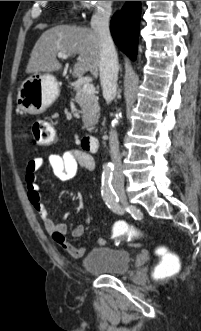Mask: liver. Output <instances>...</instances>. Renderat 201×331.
I'll list each match as a JSON object with an SVG mask.
<instances>
[{
  "instance_id": "liver-1",
  "label": "liver",
  "mask_w": 201,
  "mask_h": 331,
  "mask_svg": "<svg viewBox=\"0 0 201 331\" xmlns=\"http://www.w3.org/2000/svg\"><path fill=\"white\" fill-rule=\"evenodd\" d=\"M58 53L69 57L78 54L73 77L80 78L86 72H90L94 78L98 77L100 44L98 35L92 29L59 25L46 30L32 50L26 73L49 74L61 70L62 64L57 60Z\"/></svg>"
}]
</instances>
